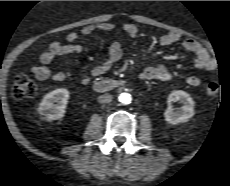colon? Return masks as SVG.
I'll return each instance as SVG.
<instances>
[{"mask_svg":"<svg viewBox=\"0 0 230 186\" xmlns=\"http://www.w3.org/2000/svg\"><path fill=\"white\" fill-rule=\"evenodd\" d=\"M12 92L17 99L29 98L36 94L37 86L28 76L19 74L13 81ZM218 92L219 85L216 82H210L206 85V94L208 96H216Z\"/></svg>","mask_w":230,"mask_h":186,"instance_id":"obj_1","label":"colon"}]
</instances>
